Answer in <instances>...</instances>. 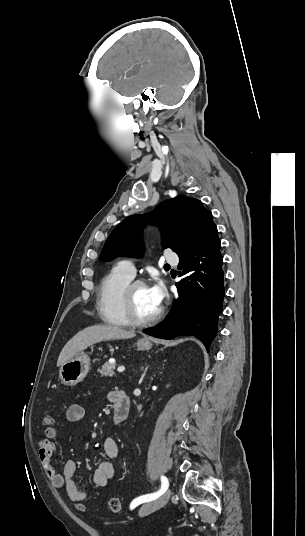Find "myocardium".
I'll return each mask as SVG.
<instances>
[{
  "label": "myocardium",
  "mask_w": 305,
  "mask_h": 536,
  "mask_svg": "<svg viewBox=\"0 0 305 536\" xmlns=\"http://www.w3.org/2000/svg\"><path fill=\"white\" fill-rule=\"evenodd\" d=\"M137 285H146V284L141 280L130 281L123 290L122 305H123L125 315L131 324L144 325V324L152 323L161 317L163 310L162 308L158 307L157 311L149 316L139 315L135 311L133 304H132V300H131L132 290Z\"/></svg>",
  "instance_id": "1"
}]
</instances>
